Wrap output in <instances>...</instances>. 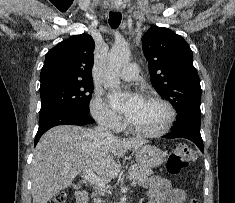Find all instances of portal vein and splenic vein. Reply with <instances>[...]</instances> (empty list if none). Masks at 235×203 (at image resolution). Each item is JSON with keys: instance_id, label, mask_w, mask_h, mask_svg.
I'll return each mask as SVG.
<instances>
[{"instance_id": "18ae733b", "label": "portal vein and splenic vein", "mask_w": 235, "mask_h": 203, "mask_svg": "<svg viewBox=\"0 0 235 203\" xmlns=\"http://www.w3.org/2000/svg\"><path fill=\"white\" fill-rule=\"evenodd\" d=\"M82 177L87 180L88 182H90L91 184H95L101 188H107L106 187V184L101 180L100 177H98L97 175L94 174L93 171L89 170L87 171L86 173H83L82 174ZM136 185V181L133 180L132 181V186H135Z\"/></svg>"}]
</instances>
